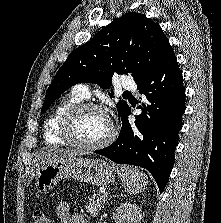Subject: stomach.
Instances as JSON below:
<instances>
[{
  "label": "stomach",
  "instance_id": "0dacf381",
  "mask_svg": "<svg viewBox=\"0 0 221 223\" xmlns=\"http://www.w3.org/2000/svg\"><path fill=\"white\" fill-rule=\"evenodd\" d=\"M66 178L104 186L115 178L114 168L104 160L82 157L59 159L42 166L36 174L35 186L40 194L49 193L57 183Z\"/></svg>",
  "mask_w": 221,
  "mask_h": 223
}]
</instances>
